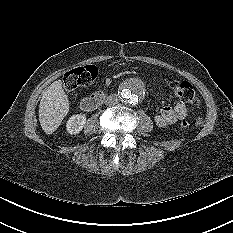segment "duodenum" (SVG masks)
<instances>
[{"mask_svg":"<svg viewBox=\"0 0 233 233\" xmlns=\"http://www.w3.org/2000/svg\"><path fill=\"white\" fill-rule=\"evenodd\" d=\"M106 99V93L102 91L95 92L90 96L83 98L80 102V107L84 111H92L98 108Z\"/></svg>","mask_w":233,"mask_h":233,"instance_id":"1","label":"duodenum"}]
</instances>
